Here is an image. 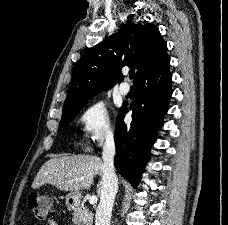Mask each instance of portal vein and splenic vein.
<instances>
[{"mask_svg":"<svg viewBox=\"0 0 228 225\" xmlns=\"http://www.w3.org/2000/svg\"><path fill=\"white\" fill-rule=\"evenodd\" d=\"M83 179H84V177H82V181H83ZM89 203H90V205H95V203H97V197H90Z\"/></svg>","mask_w":228,"mask_h":225,"instance_id":"portal-vein-and-splenic-vein-1","label":"portal vein and splenic vein"}]
</instances>
